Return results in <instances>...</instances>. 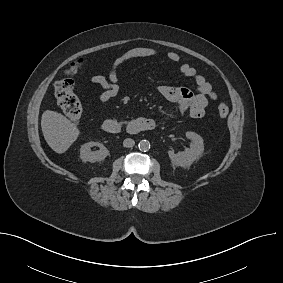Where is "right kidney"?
<instances>
[{
	"instance_id": "right-kidney-1",
	"label": "right kidney",
	"mask_w": 283,
	"mask_h": 283,
	"mask_svg": "<svg viewBox=\"0 0 283 283\" xmlns=\"http://www.w3.org/2000/svg\"><path fill=\"white\" fill-rule=\"evenodd\" d=\"M93 146H99V150L91 152L90 148ZM109 155L108 149L97 142H88L85 143L81 148H80V158L84 162H99L104 160L107 156Z\"/></svg>"
}]
</instances>
